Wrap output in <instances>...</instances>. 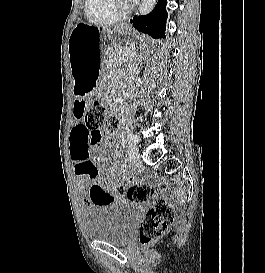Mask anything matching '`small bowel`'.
<instances>
[{
    "label": "small bowel",
    "instance_id": "obj_1",
    "mask_svg": "<svg viewBox=\"0 0 265 273\" xmlns=\"http://www.w3.org/2000/svg\"><path fill=\"white\" fill-rule=\"evenodd\" d=\"M87 99H76L73 104L71 115L79 120L86 112ZM89 130L80 121L72 128L70 135V156L72 166L78 179V185L83 191V203L88 204H113L115 199H119V194H112L111 190H104L101 183H97L99 173L114 176L113 167L101 163L98 168L96 163L90 158ZM120 180V177L118 178ZM93 182V183H91ZM90 183L89 190L88 184Z\"/></svg>",
    "mask_w": 265,
    "mask_h": 273
}]
</instances>
